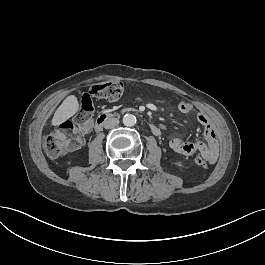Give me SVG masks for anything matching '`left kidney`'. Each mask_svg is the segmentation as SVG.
Wrapping results in <instances>:
<instances>
[{
    "instance_id": "left-kidney-1",
    "label": "left kidney",
    "mask_w": 265,
    "mask_h": 265,
    "mask_svg": "<svg viewBox=\"0 0 265 265\" xmlns=\"http://www.w3.org/2000/svg\"><path fill=\"white\" fill-rule=\"evenodd\" d=\"M175 165H176L177 167H179V168H184V167H185V164H184L183 162H181V161H177V162L175 163Z\"/></svg>"
}]
</instances>
